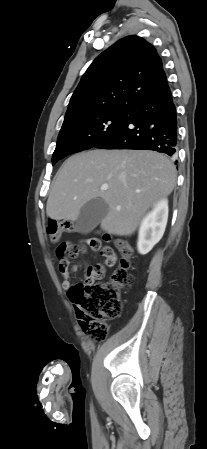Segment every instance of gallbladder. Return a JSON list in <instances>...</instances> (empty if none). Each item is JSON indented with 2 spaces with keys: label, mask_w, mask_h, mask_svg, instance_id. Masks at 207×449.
<instances>
[{
  "label": "gallbladder",
  "mask_w": 207,
  "mask_h": 449,
  "mask_svg": "<svg viewBox=\"0 0 207 449\" xmlns=\"http://www.w3.org/2000/svg\"><path fill=\"white\" fill-rule=\"evenodd\" d=\"M109 207L101 198H95L84 204L76 220L77 228L82 233H89L107 215Z\"/></svg>",
  "instance_id": "1"
}]
</instances>
